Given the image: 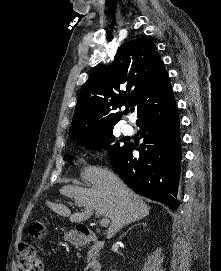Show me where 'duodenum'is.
Returning a JSON list of instances; mask_svg holds the SVG:
<instances>
[{
    "label": "duodenum",
    "mask_w": 221,
    "mask_h": 271,
    "mask_svg": "<svg viewBox=\"0 0 221 271\" xmlns=\"http://www.w3.org/2000/svg\"><path fill=\"white\" fill-rule=\"evenodd\" d=\"M70 241L76 246L91 244L94 253H97L103 247V242L93 231L88 229L78 230L74 235L71 236ZM101 269V262L97 258H93L88 262L84 271H101Z\"/></svg>",
    "instance_id": "410a0bca"
}]
</instances>
